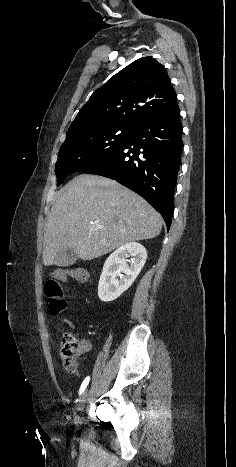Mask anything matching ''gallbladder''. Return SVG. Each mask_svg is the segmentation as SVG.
Instances as JSON below:
<instances>
[{
    "mask_svg": "<svg viewBox=\"0 0 236 467\" xmlns=\"http://www.w3.org/2000/svg\"><path fill=\"white\" fill-rule=\"evenodd\" d=\"M77 260V254L73 248L66 247L64 249H61L57 254H56V264L57 266L60 267H67L75 264Z\"/></svg>",
    "mask_w": 236,
    "mask_h": 467,
    "instance_id": "gallbladder-1",
    "label": "gallbladder"
}]
</instances>
